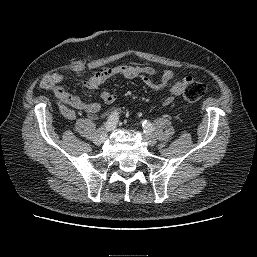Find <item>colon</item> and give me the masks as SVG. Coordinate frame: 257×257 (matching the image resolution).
Here are the masks:
<instances>
[{"label": "colon", "instance_id": "1", "mask_svg": "<svg viewBox=\"0 0 257 257\" xmlns=\"http://www.w3.org/2000/svg\"><path fill=\"white\" fill-rule=\"evenodd\" d=\"M103 72L100 71L97 74ZM55 85L54 80L52 79V76H48L44 78L41 82V86L46 89H51ZM206 87L203 83L198 81L190 80L188 81L184 89L182 91V98L185 102L193 103L199 101L205 94Z\"/></svg>", "mask_w": 257, "mask_h": 257}]
</instances>
